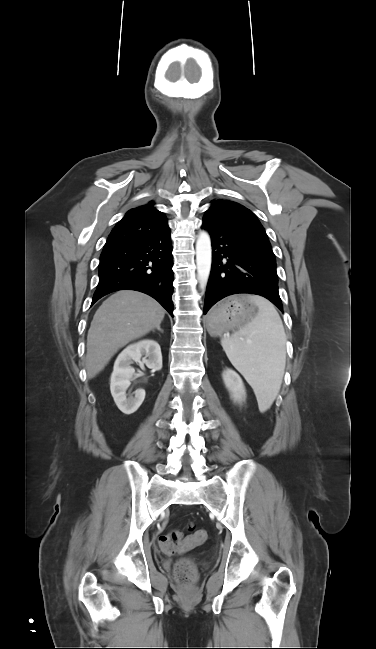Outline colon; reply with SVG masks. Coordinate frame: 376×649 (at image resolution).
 Returning a JSON list of instances; mask_svg holds the SVG:
<instances>
[{"label": "colon", "instance_id": "obj_1", "mask_svg": "<svg viewBox=\"0 0 376 649\" xmlns=\"http://www.w3.org/2000/svg\"><path fill=\"white\" fill-rule=\"evenodd\" d=\"M191 534L187 539L183 537L182 532L173 530L160 537L161 548L168 553L181 552L193 543H202L206 540L207 534L203 530H195L193 525L189 526ZM197 571L195 564L188 559H181L175 566L174 577L176 582L183 586L189 587L196 579Z\"/></svg>", "mask_w": 376, "mask_h": 649}]
</instances>
